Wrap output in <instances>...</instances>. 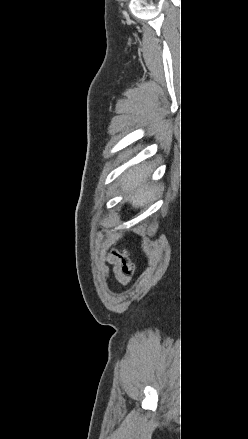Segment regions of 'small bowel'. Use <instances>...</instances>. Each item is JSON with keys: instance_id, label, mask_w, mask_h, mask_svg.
Segmentation results:
<instances>
[{"instance_id": "1", "label": "small bowel", "mask_w": 248, "mask_h": 439, "mask_svg": "<svg viewBox=\"0 0 248 439\" xmlns=\"http://www.w3.org/2000/svg\"><path fill=\"white\" fill-rule=\"evenodd\" d=\"M102 259L113 266V274L119 283L127 285L131 282L135 267L125 255L118 251H112L103 255ZM109 271L108 266L102 268V274L105 279L108 278Z\"/></svg>"}]
</instances>
